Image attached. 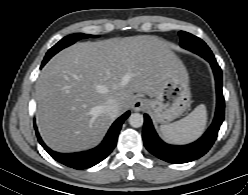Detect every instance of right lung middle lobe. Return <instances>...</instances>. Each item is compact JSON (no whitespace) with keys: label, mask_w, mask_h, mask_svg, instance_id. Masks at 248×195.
I'll use <instances>...</instances> for the list:
<instances>
[{"label":"right lung middle lobe","mask_w":248,"mask_h":195,"mask_svg":"<svg viewBox=\"0 0 248 195\" xmlns=\"http://www.w3.org/2000/svg\"><path fill=\"white\" fill-rule=\"evenodd\" d=\"M89 37H97V35H87V34L77 33L64 37L47 52L43 60V63H46L53 55H55L60 50L74 44L76 41L80 39H86Z\"/></svg>","instance_id":"1"}]
</instances>
